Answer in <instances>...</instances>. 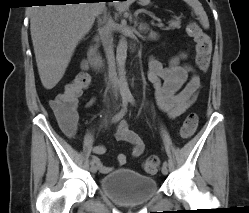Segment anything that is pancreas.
I'll return each instance as SVG.
<instances>
[{"mask_svg": "<svg viewBox=\"0 0 249 213\" xmlns=\"http://www.w3.org/2000/svg\"><path fill=\"white\" fill-rule=\"evenodd\" d=\"M181 21L176 20V21H170L169 22V29H180L181 28Z\"/></svg>", "mask_w": 249, "mask_h": 213, "instance_id": "cf45deb5", "label": "pancreas"}]
</instances>
